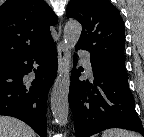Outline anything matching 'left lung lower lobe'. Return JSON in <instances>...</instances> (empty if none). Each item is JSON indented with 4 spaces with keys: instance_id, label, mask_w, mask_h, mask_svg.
<instances>
[{
    "instance_id": "0a47b994",
    "label": "left lung lower lobe",
    "mask_w": 144,
    "mask_h": 137,
    "mask_svg": "<svg viewBox=\"0 0 144 137\" xmlns=\"http://www.w3.org/2000/svg\"><path fill=\"white\" fill-rule=\"evenodd\" d=\"M80 49L79 47H76ZM94 83L80 81V71L73 69L69 104L74 117L76 137H89L104 129L124 128L144 136V129L128 87V74L90 58ZM74 64L77 57L74 56Z\"/></svg>"
}]
</instances>
